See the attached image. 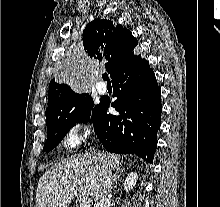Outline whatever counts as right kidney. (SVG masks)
Segmentation results:
<instances>
[{
  "instance_id": "ca27d5eb",
  "label": "right kidney",
  "mask_w": 220,
  "mask_h": 207,
  "mask_svg": "<svg viewBox=\"0 0 220 207\" xmlns=\"http://www.w3.org/2000/svg\"><path fill=\"white\" fill-rule=\"evenodd\" d=\"M137 179H138V174L136 172H131L128 174L124 182V189L126 190V192L133 189Z\"/></svg>"
}]
</instances>
